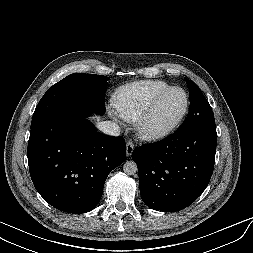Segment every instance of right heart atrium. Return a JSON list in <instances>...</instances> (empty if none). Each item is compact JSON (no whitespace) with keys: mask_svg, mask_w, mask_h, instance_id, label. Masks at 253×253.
Returning a JSON list of instances; mask_svg holds the SVG:
<instances>
[{"mask_svg":"<svg viewBox=\"0 0 253 253\" xmlns=\"http://www.w3.org/2000/svg\"><path fill=\"white\" fill-rule=\"evenodd\" d=\"M113 116H116V113L114 111H110Z\"/></svg>","mask_w":253,"mask_h":253,"instance_id":"1","label":"right heart atrium"}]
</instances>
